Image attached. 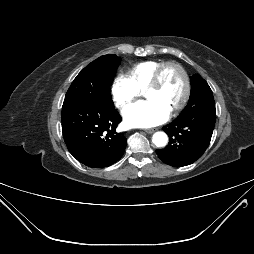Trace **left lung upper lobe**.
I'll return each mask as SVG.
<instances>
[{"label": "left lung upper lobe", "mask_w": 254, "mask_h": 254, "mask_svg": "<svg viewBox=\"0 0 254 254\" xmlns=\"http://www.w3.org/2000/svg\"><path fill=\"white\" fill-rule=\"evenodd\" d=\"M191 79V94L188 105L194 106H215L212 90L207 82L195 74Z\"/></svg>", "instance_id": "left-lung-upper-lobe-1"}]
</instances>
